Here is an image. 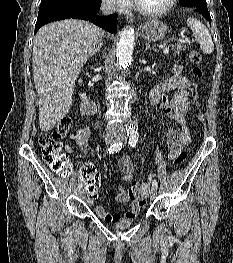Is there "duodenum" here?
<instances>
[{
    "label": "duodenum",
    "instance_id": "duodenum-1",
    "mask_svg": "<svg viewBox=\"0 0 233 263\" xmlns=\"http://www.w3.org/2000/svg\"><path fill=\"white\" fill-rule=\"evenodd\" d=\"M80 107L81 111L86 115H92L96 112V104L91 100L88 94H85Z\"/></svg>",
    "mask_w": 233,
    "mask_h": 263
}]
</instances>
